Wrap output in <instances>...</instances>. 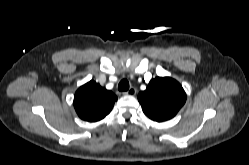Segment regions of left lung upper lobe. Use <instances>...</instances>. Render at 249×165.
<instances>
[{
  "label": "left lung upper lobe",
  "mask_w": 249,
  "mask_h": 165,
  "mask_svg": "<svg viewBox=\"0 0 249 165\" xmlns=\"http://www.w3.org/2000/svg\"><path fill=\"white\" fill-rule=\"evenodd\" d=\"M138 100L147 117L162 122L178 113L186 101V93L175 79L156 77L138 94Z\"/></svg>",
  "instance_id": "5c2ea615"
}]
</instances>
